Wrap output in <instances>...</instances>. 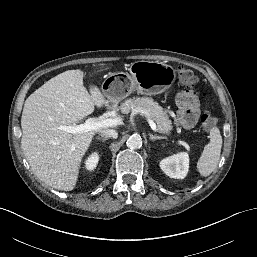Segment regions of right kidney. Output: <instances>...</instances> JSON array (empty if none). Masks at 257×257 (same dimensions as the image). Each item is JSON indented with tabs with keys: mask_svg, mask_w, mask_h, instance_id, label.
<instances>
[{
	"mask_svg": "<svg viewBox=\"0 0 257 257\" xmlns=\"http://www.w3.org/2000/svg\"><path fill=\"white\" fill-rule=\"evenodd\" d=\"M98 161H99V155L97 152H94L92 153L88 158L87 160L85 161V167L87 170L89 171H93L97 164H98Z\"/></svg>",
	"mask_w": 257,
	"mask_h": 257,
	"instance_id": "obj_1",
	"label": "right kidney"
}]
</instances>
